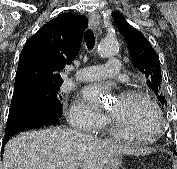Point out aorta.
<instances>
[{"label": "aorta", "mask_w": 177, "mask_h": 169, "mask_svg": "<svg viewBox=\"0 0 177 169\" xmlns=\"http://www.w3.org/2000/svg\"><path fill=\"white\" fill-rule=\"evenodd\" d=\"M118 42L115 38H106L98 46V53L102 57H112L118 52Z\"/></svg>", "instance_id": "762f6f07"}]
</instances>
